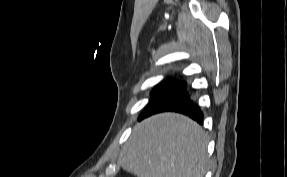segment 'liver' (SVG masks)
<instances>
[{"label": "liver", "instance_id": "obj_1", "mask_svg": "<svg viewBox=\"0 0 287 177\" xmlns=\"http://www.w3.org/2000/svg\"><path fill=\"white\" fill-rule=\"evenodd\" d=\"M207 143L206 133L195 121L161 113L134 127L119 163L137 177H203Z\"/></svg>", "mask_w": 287, "mask_h": 177}]
</instances>
